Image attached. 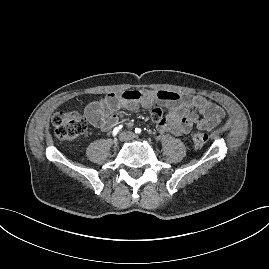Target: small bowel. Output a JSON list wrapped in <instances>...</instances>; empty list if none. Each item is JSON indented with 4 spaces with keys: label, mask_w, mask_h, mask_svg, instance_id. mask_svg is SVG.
Masks as SVG:
<instances>
[{
    "label": "small bowel",
    "mask_w": 269,
    "mask_h": 269,
    "mask_svg": "<svg viewBox=\"0 0 269 269\" xmlns=\"http://www.w3.org/2000/svg\"><path fill=\"white\" fill-rule=\"evenodd\" d=\"M155 104H165L169 108L167 114L161 113L152 117L158 131L176 136L188 134L193 126L211 131L217 128L225 117L220 106L202 96L140 90L108 93L100 100L90 103L85 114L95 127L108 131L119 123V110H135Z\"/></svg>",
    "instance_id": "c3829d8e"
}]
</instances>
